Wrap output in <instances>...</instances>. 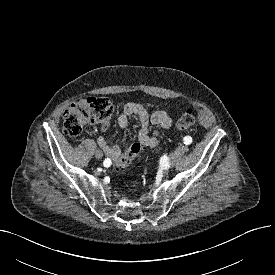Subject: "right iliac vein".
<instances>
[{
  "instance_id": "right-iliac-vein-1",
  "label": "right iliac vein",
  "mask_w": 275,
  "mask_h": 275,
  "mask_svg": "<svg viewBox=\"0 0 275 275\" xmlns=\"http://www.w3.org/2000/svg\"><path fill=\"white\" fill-rule=\"evenodd\" d=\"M102 156H103V154H102V152H101L100 150H96V151H95V157H96L97 159H101Z\"/></svg>"
}]
</instances>
